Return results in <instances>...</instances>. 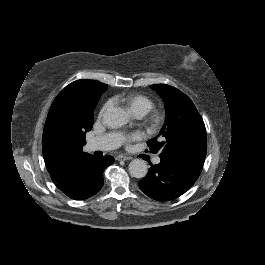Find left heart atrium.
Wrapping results in <instances>:
<instances>
[{
    "instance_id": "left-heart-atrium-1",
    "label": "left heart atrium",
    "mask_w": 265,
    "mask_h": 265,
    "mask_svg": "<svg viewBox=\"0 0 265 265\" xmlns=\"http://www.w3.org/2000/svg\"><path fill=\"white\" fill-rule=\"evenodd\" d=\"M141 137H142V134H140L139 132H136V133H132V134L125 136V141L129 143L131 141L140 139Z\"/></svg>"
}]
</instances>
